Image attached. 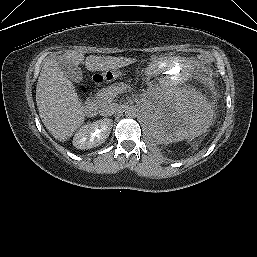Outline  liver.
<instances>
[{
	"label": "liver",
	"mask_w": 257,
	"mask_h": 257,
	"mask_svg": "<svg viewBox=\"0 0 257 257\" xmlns=\"http://www.w3.org/2000/svg\"><path fill=\"white\" fill-rule=\"evenodd\" d=\"M62 57L75 66L85 59L82 52L71 50L65 51ZM134 62L135 59L126 57L89 55L85 59V66L87 70L95 72L119 69ZM36 103L44 126L61 142L68 140L85 120L84 106L75 86L64 75L55 54L46 59L40 72Z\"/></svg>",
	"instance_id": "liver-1"
}]
</instances>
